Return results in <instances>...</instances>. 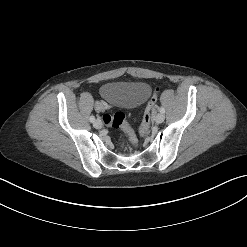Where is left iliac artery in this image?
Segmentation results:
<instances>
[{"mask_svg":"<svg viewBox=\"0 0 247 247\" xmlns=\"http://www.w3.org/2000/svg\"><path fill=\"white\" fill-rule=\"evenodd\" d=\"M159 111L163 114L165 113V109L163 107H159Z\"/></svg>","mask_w":247,"mask_h":247,"instance_id":"obj_1","label":"left iliac artery"}]
</instances>
